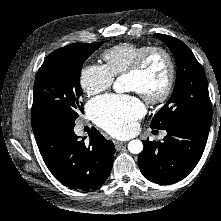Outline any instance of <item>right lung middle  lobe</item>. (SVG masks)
<instances>
[{
	"mask_svg": "<svg viewBox=\"0 0 221 221\" xmlns=\"http://www.w3.org/2000/svg\"><path fill=\"white\" fill-rule=\"evenodd\" d=\"M103 42L74 43L52 52L39 69L31 111L32 128L49 121L75 123L83 112L79 79L84 61Z\"/></svg>",
	"mask_w": 221,
	"mask_h": 221,
	"instance_id": "right-lung-middle-lobe-1",
	"label": "right lung middle lobe"
}]
</instances>
